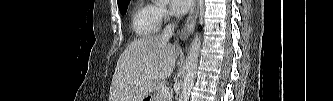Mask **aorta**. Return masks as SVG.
<instances>
[{"label": "aorta", "mask_w": 333, "mask_h": 101, "mask_svg": "<svg viewBox=\"0 0 333 101\" xmlns=\"http://www.w3.org/2000/svg\"><path fill=\"white\" fill-rule=\"evenodd\" d=\"M201 49V34L196 33L193 41L191 42L185 63V77L182 83V91L179 101H188L194 80L196 76V69L198 65L199 53Z\"/></svg>", "instance_id": "aorta-1"}]
</instances>
